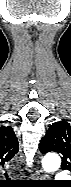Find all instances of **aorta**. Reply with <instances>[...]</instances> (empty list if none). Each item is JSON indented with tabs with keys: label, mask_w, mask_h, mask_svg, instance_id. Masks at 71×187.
Listing matches in <instances>:
<instances>
[{
	"label": "aorta",
	"mask_w": 71,
	"mask_h": 187,
	"mask_svg": "<svg viewBox=\"0 0 71 187\" xmlns=\"http://www.w3.org/2000/svg\"><path fill=\"white\" fill-rule=\"evenodd\" d=\"M61 164V159L56 153H48L42 159V166L46 172H54L56 171Z\"/></svg>",
	"instance_id": "aorta-1"
}]
</instances>
